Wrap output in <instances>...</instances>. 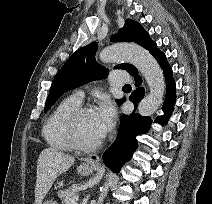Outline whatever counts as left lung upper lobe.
Here are the masks:
<instances>
[{
  "mask_svg": "<svg viewBox=\"0 0 212 204\" xmlns=\"http://www.w3.org/2000/svg\"><path fill=\"white\" fill-rule=\"evenodd\" d=\"M112 41L135 42L149 50L152 55L159 51L156 43L150 39L144 28L132 19L126 20L124 27L113 37ZM97 47V42H92L77 50L66 61L52 82L44 111H47L66 91L107 75L108 70L95 61ZM115 68L126 69L131 75L138 72L131 64H119ZM120 101L117 100V103L119 104Z\"/></svg>",
  "mask_w": 212,
  "mask_h": 204,
  "instance_id": "5c2ea615",
  "label": "left lung upper lobe"
}]
</instances>
